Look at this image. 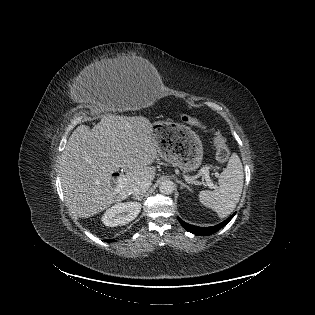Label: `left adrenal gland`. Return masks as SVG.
<instances>
[{
	"label": "left adrenal gland",
	"instance_id": "obj_1",
	"mask_svg": "<svg viewBox=\"0 0 315 315\" xmlns=\"http://www.w3.org/2000/svg\"><path fill=\"white\" fill-rule=\"evenodd\" d=\"M177 183H179L181 185V188H187L189 189L190 191H192V189L185 183H183L181 180H177Z\"/></svg>",
	"mask_w": 315,
	"mask_h": 315
}]
</instances>
